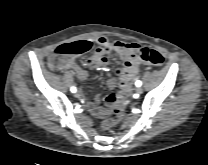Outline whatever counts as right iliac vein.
<instances>
[{
	"instance_id": "63e3f726",
	"label": "right iliac vein",
	"mask_w": 208,
	"mask_h": 165,
	"mask_svg": "<svg viewBox=\"0 0 208 165\" xmlns=\"http://www.w3.org/2000/svg\"><path fill=\"white\" fill-rule=\"evenodd\" d=\"M80 96H81V93L79 91L75 93L76 98H79Z\"/></svg>"
}]
</instances>
